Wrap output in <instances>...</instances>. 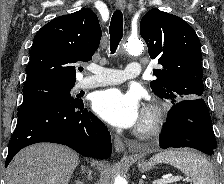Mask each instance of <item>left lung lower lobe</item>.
I'll return each instance as SVG.
<instances>
[{
  "instance_id": "1",
  "label": "left lung lower lobe",
  "mask_w": 224,
  "mask_h": 184,
  "mask_svg": "<svg viewBox=\"0 0 224 184\" xmlns=\"http://www.w3.org/2000/svg\"><path fill=\"white\" fill-rule=\"evenodd\" d=\"M159 139L164 149L191 147L213 155L216 139L204 100L185 99L174 103Z\"/></svg>"
}]
</instances>
